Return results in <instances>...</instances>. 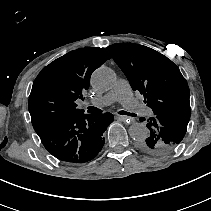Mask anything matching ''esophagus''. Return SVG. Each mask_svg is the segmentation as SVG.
<instances>
[{"label":"esophagus","mask_w":211,"mask_h":211,"mask_svg":"<svg viewBox=\"0 0 211 211\" xmlns=\"http://www.w3.org/2000/svg\"><path fill=\"white\" fill-rule=\"evenodd\" d=\"M117 119L124 121L126 124H129L130 122L133 123L135 121L134 118L128 117V116H124V115L117 116Z\"/></svg>","instance_id":"34e87169"}]
</instances>
